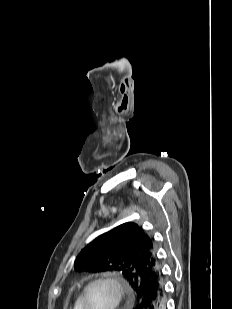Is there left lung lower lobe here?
I'll use <instances>...</instances> for the list:
<instances>
[{"mask_svg": "<svg viewBox=\"0 0 232 309\" xmlns=\"http://www.w3.org/2000/svg\"><path fill=\"white\" fill-rule=\"evenodd\" d=\"M166 303L163 276L159 270L151 277L135 309H166Z\"/></svg>", "mask_w": 232, "mask_h": 309, "instance_id": "1", "label": "left lung lower lobe"}]
</instances>
